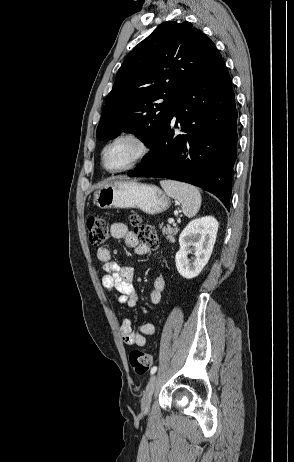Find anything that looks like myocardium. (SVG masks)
I'll list each match as a JSON object with an SVG mask.
<instances>
[{"label": "myocardium", "instance_id": "obj_1", "mask_svg": "<svg viewBox=\"0 0 294 462\" xmlns=\"http://www.w3.org/2000/svg\"><path fill=\"white\" fill-rule=\"evenodd\" d=\"M124 139H128L136 143V145L139 148L138 153L127 165L120 167V168H116V169L108 168L105 164V154H106L107 149L111 147L113 144H115L116 142L120 140H124ZM151 152H152V145L146 134L140 131H136V130L122 131L118 133L117 135H115L113 138H111L102 147L101 153H100L101 166L105 171L109 173H121V172L129 171V170H132L138 167L144 161H146L147 158L150 156Z\"/></svg>", "mask_w": 294, "mask_h": 462}]
</instances>
